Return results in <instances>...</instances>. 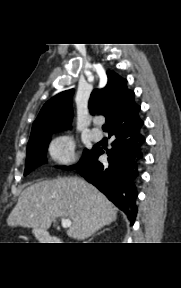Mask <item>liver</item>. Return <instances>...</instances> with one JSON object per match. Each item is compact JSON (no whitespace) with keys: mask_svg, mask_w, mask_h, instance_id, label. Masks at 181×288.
<instances>
[{"mask_svg":"<svg viewBox=\"0 0 181 288\" xmlns=\"http://www.w3.org/2000/svg\"><path fill=\"white\" fill-rule=\"evenodd\" d=\"M58 217L71 220L72 225L67 231L69 237L84 240L115 221L117 209L85 180L65 177L37 182L24 189L7 224L47 233Z\"/></svg>","mask_w":181,"mask_h":288,"instance_id":"obj_1","label":"liver"}]
</instances>
